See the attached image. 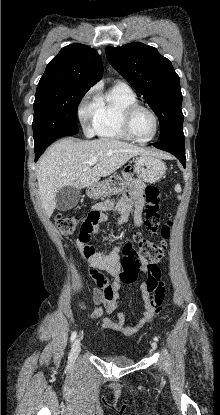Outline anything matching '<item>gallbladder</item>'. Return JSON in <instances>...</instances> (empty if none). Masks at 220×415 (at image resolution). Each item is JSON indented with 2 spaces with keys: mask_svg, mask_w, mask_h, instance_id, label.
<instances>
[{
  "mask_svg": "<svg viewBox=\"0 0 220 415\" xmlns=\"http://www.w3.org/2000/svg\"><path fill=\"white\" fill-rule=\"evenodd\" d=\"M80 196L81 193L79 189L73 186L63 187L56 193V208L60 211L70 210L77 205Z\"/></svg>",
  "mask_w": 220,
  "mask_h": 415,
  "instance_id": "gallbladder-1",
  "label": "gallbladder"
}]
</instances>
